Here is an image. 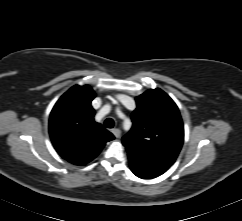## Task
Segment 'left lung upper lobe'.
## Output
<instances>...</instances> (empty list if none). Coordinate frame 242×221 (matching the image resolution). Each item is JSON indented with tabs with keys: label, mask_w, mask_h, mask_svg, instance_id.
<instances>
[{
	"label": "left lung upper lobe",
	"mask_w": 242,
	"mask_h": 221,
	"mask_svg": "<svg viewBox=\"0 0 242 221\" xmlns=\"http://www.w3.org/2000/svg\"><path fill=\"white\" fill-rule=\"evenodd\" d=\"M133 126L122 138L128 154L171 166L183 144L184 128L179 109L161 89L136 97Z\"/></svg>",
	"instance_id": "obj_1"
}]
</instances>
